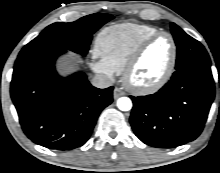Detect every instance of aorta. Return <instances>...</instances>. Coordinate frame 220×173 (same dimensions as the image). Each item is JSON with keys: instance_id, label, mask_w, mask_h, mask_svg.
Instances as JSON below:
<instances>
[{"instance_id": "aorta-1", "label": "aorta", "mask_w": 220, "mask_h": 173, "mask_svg": "<svg viewBox=\"0 0 220 173\" xmlns=\"http://www.w3.org/2000/svg\"><path fill=\"white\" fill-rule=\"evenodd\" d=\"M117 107L121 111H129L132 108V101L128 97H121L117 100Z\"/></svg>"}]
</instances>
